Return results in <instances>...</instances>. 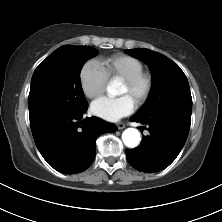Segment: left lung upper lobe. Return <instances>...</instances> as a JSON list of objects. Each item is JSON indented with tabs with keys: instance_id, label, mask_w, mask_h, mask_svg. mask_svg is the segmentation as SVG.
Instances as JSON below:
<instances>
[{
	"instance_id": "1",
	"label": "left lung upper lobe",
	"mask_w": 222,
	"mask_h": 222,
	"mask_svg": "<svg viewBox=\"0 0 222 222\" xmlns=\"http://www.w3.org/2000/svg\"><path fill=\"white\" fill-rule=\"evenodd\" d=\"M126 52L146 62L152 71V89L146 104L137 114H148L166 107L192 112L188 80L181 68L166 56L145 48Z\"/></svg>"
}]
</instances>
